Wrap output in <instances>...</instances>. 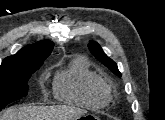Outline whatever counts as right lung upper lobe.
<instances>
[{
  "label": "right lung upper lobe",
  "mask_w": 165,
  "mask_h": 120,
  "mask_svg": "<svg viewBox=\"0 0 165 120\" xmlns=\"http://www.w3.org/2000/svg\"><path fill=\"white\" fill-rule=\"evenodd\" d=\"M54 43L44 40L33 45H27L19 50L15 55L6 57L2 65L18 64L31 61L45 60L53 50Z\"/></svg>",
  "instance_id": "obj_1"
}]
</instances>
